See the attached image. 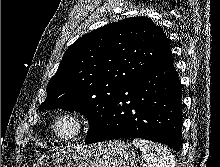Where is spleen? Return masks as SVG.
<instances>
[{
	"label": "spleen",
	"mask_w": 220,
	"mask_h": 167,
	"mask_svg": "<svg viewBox=\"0 0 220 167\" xmlns=\"http://www.w3.org/2000/svg\"><path fill=\"white\" fill-rule=\"evenodd\" d=\"M133 144L142 151L148 167L175 166V159L166 147L144 139H134Z\"/></svg>",
	"instance_id": "1"
}]
</instances>
